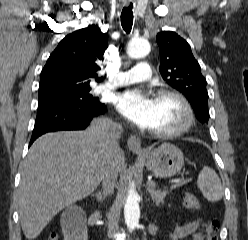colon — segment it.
I'll list each match as a JSON object with an SVG mask.
<instances>
[{"mask_svg": "<svg viewBox=\"0 0 248 240\" xmlns=\"http://www.w3.org/2000/svg\"><path fill=\"white\" fill-rule=\"evenodd\" d=\"M184 205L190 210H197L200 207L199 201L194 194L187 193L184 196ZM219 223L216 220L209 221L204 225L203 240H218L217 232ZM47 240H57V237L52 235Z\"/></svg>", "mask_w": 248, "mask_h": 240, "instance_id": "1", "label": "colon"}]
</instances>
